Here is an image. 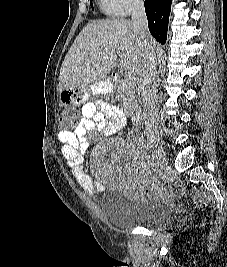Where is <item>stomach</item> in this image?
I'll list each match as a JSON object with an SVG mask.
<instances>
[{
    "instance_id": "obj_1",
    "label": "stomach",
    "mask_w": 227,
    "mask_h": 267,
    "mask_svg": "<svg viewBox=\"0 0 227 267\" xmlns=\"http://www.w3.org/2000/svg\"><path fill=\"white\" fill-rule=\"evenodd\" d=\"M106 90V91H103ZM112 85H87L86 87H62L58 91L57 101L61 104H71L72 106H83L87 102L89 94L109 93Z\"/></svg>"
}]
</instances>
